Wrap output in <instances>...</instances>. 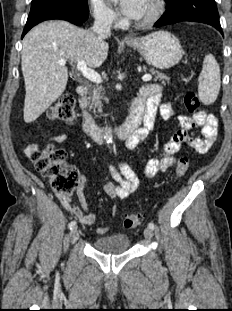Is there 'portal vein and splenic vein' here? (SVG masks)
I'll return each instance as SVG.
<instances>
[{
	"instance_id": "obj_1",
	"label": "portal vein and splenic vein",
	"mask_w": 232,
	"mask_h": 311,
	"mask_svg": "<svg viewBox=\"0 0 232 311\" xmlns=\"http://www.w3.org/2000/svg\"><path fill=\"white\" fill-rule=\"evenodd\" d=\"M58 63H59V65L64 66L66 64V61L62 59ZM77 69H78V71H80L82 73V75L86 79H88V80H90L96 84H100L102 82L101 76L97 72H95L94 70L88 68L87 64L84 61H78ZM151 79H152V76L150 74H145L142 77V80L144 82H148Z\"/></svg>"
}]
</instances>
